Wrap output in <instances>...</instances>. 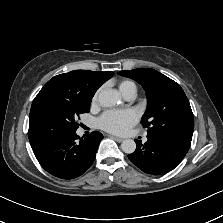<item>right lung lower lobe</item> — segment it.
I'll list each match as a JSON object with an SVG mask.
<instances>
[{
	"instance_id": "98d812e1",
	"label": "right lung lower lobe",
	"mask_w": 223,
	"mask_h": 223,
	"mask_svg": "<svg viewBox=\"0 0 223 223\" xmlns=\"http://www.w3.org/2000/svg\"><path fill=\"white\" fill-rule=\"evenodd\" d=\"M76 132L32 146L40 165L50 174L73 179L82 175L93 163L103 135L97 131L81 141Z\"/></svg>"
}]
</instances>
